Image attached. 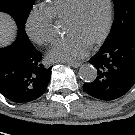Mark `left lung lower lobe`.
<instances>
[{
  "instance_id": "0a47b994",
  "label": "left lung lower lobe",
  "mask_w": 135,
  "mask_h": 135,
  "mask_svg": "<svg viewBox=\"0 0 135 135\" xmlns=\"http://www.w3.org/2000/svg\"><path fill=\"white\" fill-rule=\"evenodd\" d=\"M89 63L97 69V77L83 85L90 96L111 101L126 94L135 84V30L111 43H104Z\"/></svg>"
}]
</instances>
